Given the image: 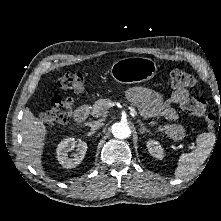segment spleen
Segmentation results:
<instances>
[{
  "mask_svg": "<svg viewBox=\"0 0 221 221\" xmlns=\"http://www.w3.org/2000/svg\"><path fill=\"white\" fill-rule=\"evenodd\" d=\"M216 136L212 132L202 133L196 139L194 150L190 153H182L178 158L175 177L182 178L193 174L210 155L215 144Z\"/></svg>",
  "mask_w": 221,
  "mask_h": 221,
  "instance_id": "obj_1",
  "label": "spleen"
}]
</instances>
